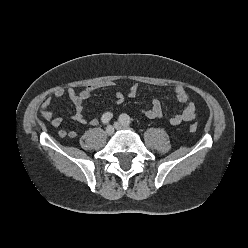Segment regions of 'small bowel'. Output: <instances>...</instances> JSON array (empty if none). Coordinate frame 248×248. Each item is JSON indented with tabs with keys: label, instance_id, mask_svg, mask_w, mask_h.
Listing matches in <instances>:
<instances>
[{
	"label": "small bowel",
	"instance_id": "1",
	"mask_svg": "<svg viewBox=\"0 0 248 248\" xmlns=\"http://www.w3.org/2000/svg\"><path fill=\"white\" fill-rule=\"evenodd\" d=\"M113 85H114L113 82L93 84L86 86L84 89L80 91L77 90L75 87L59 88L54 92L52 97H48L43 101L42 106L40 108V114L44 120L50 123L52 127L54 128L60 127L62 123V118L54 114V111L52 110V105L57 103L64 95H67V97L73 103L75 109V112L72 116L73 120L83 125L90 124L91 126H96L99 123L98 119L92 118L88 120L83 114L84 101L87 100L96 90ZM138 89L139 87L137 84L132 85L127 92V96L130 98L136 97L138 93ZM174 94L177 101L180 104L184 105V109L181 113L171 116L168 119L169 123L171 125H179L182 122L193 120L196 116V107L193 101L191 100V96L189 92L182 86H176L174 88ZM124 100H125V95L122 92H117L115 94L116 104H122ZM141 113L148 119L162 118L163 110H162L161 102L156 98L153 99L151 103V107L148 109H142ZM58 135L61 138L69 137L73 139L77 137V132L75 130L60 129L58 131Z\"/></svg>",
	"mask_w": 248,
	"mask_h": 248
}]
</instances>
